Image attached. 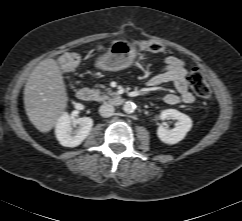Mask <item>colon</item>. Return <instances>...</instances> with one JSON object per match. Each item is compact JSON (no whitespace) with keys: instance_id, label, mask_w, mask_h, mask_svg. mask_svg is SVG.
<instances>
[{"instance_id":"colon-1","label":"colon","mask_w":242,"mask_h":221,"mask_svg":"<svg viewBox=\"0 0 242 221\" xmlns=\"http://www.w3.org/2000/svg\"><path fill=\"white\" fill-rule=\"evenodd\" d=\"M137 50L142 52L160 53L166 50V46L158 41L134 42ZM79 63V56L69 52L63 54L59 59V65L63 71L74 69ZM188 82L194 93L201 99L208 100L211 97V89L206 82L202 72L197 67H192L189 71Z\"/></svg>"}]
</instances>
